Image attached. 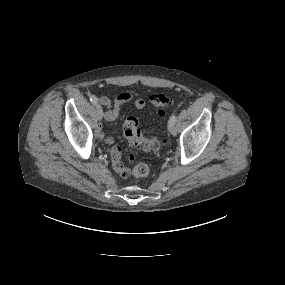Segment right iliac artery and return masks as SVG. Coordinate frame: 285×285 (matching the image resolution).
<instances>
[{"label": "right iliac artery", "instance_id": "obj_1", "mask_svg": "<svg viewBox=\"0 0 285 285\" xmlns=\"http://www.w3.org/2000/svg\"><path fill=\"white\" fill-rule=\"evenodd\" d=\"M90 101H91L94 105H96V104L98 103V99H97V97L94 96V95H92V96L90 97Z\"/></svg>", "mask_w": 285, "mask_h": 285}]
</instances>
